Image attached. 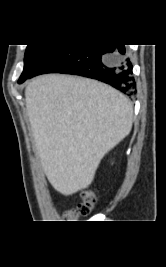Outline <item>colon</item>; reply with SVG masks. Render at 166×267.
Segmentation results:
<instances>
[{"label":"colon","mask_w":166,"mask_h":267,"mask_svg":"<svg viewBox=\"0 0 166 267\" xmlns=\"http://www.w3.org/2000/svg\"><path fill=\"white\" fill-rule=\"evenodd\" d=\"M97 194L94 190H86L82 193V202L76 208L70 209L66 212L67 222H75L80 216H87L94 205L97 203Z\"/></svg>","instance_id":"1"}]
</instances>
